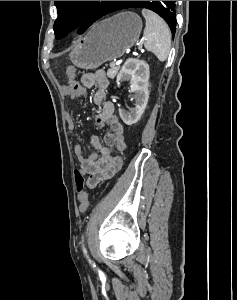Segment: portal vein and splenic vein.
<instances>
[{"instance_id":"18ae733b","label":"portal vein and splenic vein","mask_w":237,"mask_h":300,"mask_svg":"<svg viewBox=\"0 0 237 300\" xmlns=\"http://www.w3.org/2000/svg\"><path fill=\"white\" fill-rule=\"evenodd\" d=\"M110 64H111V65H110V68H112V69L116 66V63H115L113 60L110 61Z\"/></svg>"}]
</instances>
